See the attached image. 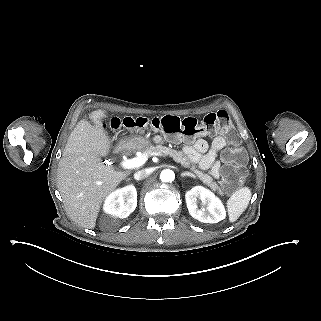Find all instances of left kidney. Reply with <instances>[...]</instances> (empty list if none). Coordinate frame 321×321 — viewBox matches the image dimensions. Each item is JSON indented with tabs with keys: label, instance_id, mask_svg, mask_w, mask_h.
<instances>
[{
	"label": "left kidney",
	"instance_id": "obj_1",
	"mask_svg": "<svg viewBox=\"0 0 321 321\" xmlns=\"http://www.w3.org/2000/svg\"><path fill=\"white\" fill-rule=\"evenodd\" d=\"M201 202V209L197 203ZM186 202L190 215L203 223H217L225 218L222 203L212 192L201 186L193 187L186 193Z\"/></svg>",
	"mask_w": 321,
	"mask_h": 321
}]
</instances>
